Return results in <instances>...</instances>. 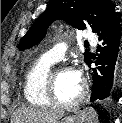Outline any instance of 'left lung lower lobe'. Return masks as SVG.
<instances>
[{
  "instance_id": "left-lung-lower-lobe-1",
  "label": "left lung lower lobe",
  "mask_w": 122,
  "mask_h": 123,
  "mask_svg": "<svg viewBox=\"0 0 122 123\" xmlns=\"http://www.w3.org/2000/svg\"><path fill=\"white\" fill-rule=\"evenodd\" d=\"M101 46L86 62L88 66L95 62L92 69L93 86L90 102L114 99L122 76V37L119 20L114 14L104 28L97 34Z\"/></svg>"
}]
</instances>
